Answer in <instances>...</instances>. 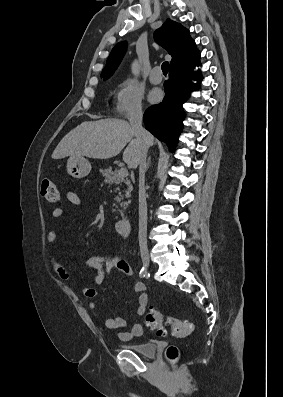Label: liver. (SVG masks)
Listing matches in <instances>:
<instances>
[{
    "label": "liver",
    "instance_id": "obj_1",
    "mask_svg": "<svg viewBox=\"0 0 283 397\" xmlns=\"http://www.w3.org/2000/svg\"><path fill=\"white\" fill-rule=\"evenodd\" d=\"M153 144L154 137L149 134V146ZM124 148L123 161L130 168L135 169L139 164L143 143L127 121L120 119L85 121L62 138L52 158L86 156L93 159H108L118 155Z\"/></svg>",
    "mask_w": 283,
    "mask_h": 397
}]
</instances>
